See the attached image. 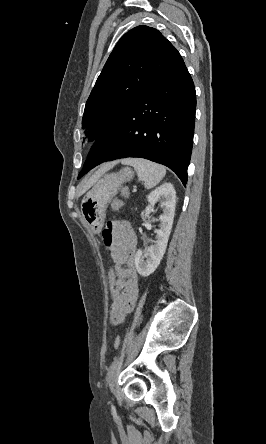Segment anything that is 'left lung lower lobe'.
Returning <instances> with one entry per match:
<instances>
[{
	"mask_svg": "<svg viewBox=\"0 0 266 444\" xmlns=\"http://www.w3.org/2000/svg\"><path fill=\"white\" fill-rule=\"evenodd\" d=\"M195 110L194 84L182 61L104 131L81 174L105 161L140 157L169 167L185 186Z\"/></svg>",
	"mask_w": 266,
	"mask_h": 444,
	"instance_id": "0a47b994",
	"label": "left lung lower lobe"
}]
</instances>
